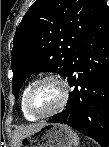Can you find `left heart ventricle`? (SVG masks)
Returning a JSON list of instances; mask_svg holds the SVG:
<instances>
[{
    "label": "left heart ventricle",
    "mask_w": 109,
    "mask_h": 147,
    "mask_svg": "<svg viewBox=\"0 0 109 147\" xmlns=\"http://www.w3.org/2000/svg\"><path fill=\"white\" fill-rule=\"evenodd\" d=\"M62 90L52 81L41 84L30 98V106L37 113H45L53 109L61 100Z\"/></svg>",
    "instance_id": "1"
}]
</instances>
